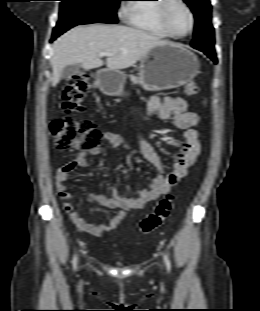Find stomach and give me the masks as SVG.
Masks as SVG:
<instances>
[{"mask_svg": "<svg viewBox=\"0 0 260 311\" xmlns=\"http://www.w3.org/2000/svg\"><path fill=\"white\" fill-rule=\"evenodd\" d=\"M199 68L197 56L182 45H158L140 61L141 85L150 91L177 88L193 80ZM96 82L106 95L119 96L124 93L125 74L119 70L98 71Z\"/></svg>", "mask_w": 260, "mask_h": 311, "instance_id": "stomach-1", "label": "stomach"}]
</instances>
